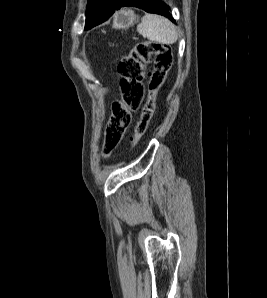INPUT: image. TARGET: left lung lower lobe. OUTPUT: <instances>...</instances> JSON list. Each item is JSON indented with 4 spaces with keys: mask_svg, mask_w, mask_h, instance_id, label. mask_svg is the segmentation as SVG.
Returning <instances> with one entry per match:
<instances>
[{
    "mask_svg": "<svg viewBox=\"0 0 267 298\" xmlns=\"http://www.w3.org/2000/svg\"><path fill=\"white\" fill-rule=\"evenodd\" d=\"M125 6H133L149 13L160 14L174 22L173 18L170 16L169 7L161 0H116L109 9L90 18L85 25V30L91 29L106 21L116 10Z\"/></svg>",
    "mask_w": 267,
    "mask_h": 298,
    "instance_id": "1",
    "label": "left lung lower lobe"
}]
</instances>
